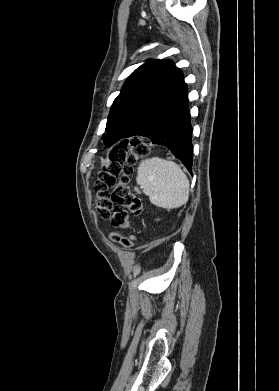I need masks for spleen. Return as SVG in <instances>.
Here are the masks:
<instances>
[{
	"mask_svg": "<svg viewBox=\"0 0 279 391\" xmlns=\"http://www.w3.org/2000/svg\"><path fill=\"white\" fill-rule=\"evenodd\" d=\"M136 182L152 204L174 209L189 199V180L180 166L159 157L144 160L138 167Z\"/></svg>",
	"mask_w": 279,
	"mask_h": 391,
	"instance_id": "obj_1",
	"label": "spleen"
}]
</instances>
